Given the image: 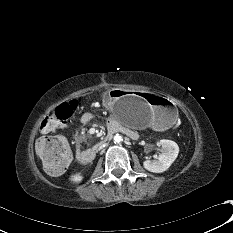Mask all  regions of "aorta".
<instances>
[{"label": "aorta", "instance_id": "aorta-1", "mask_svg": "<svg viewBox=\"0 0 233 233\" xmlns=\"http://www.w3.org/2000/svg\"><path fill=\"white\" fill-rule=\"evenodd\" d=\"M122 140H123V139H122V136H120L119 134H116V135L114 136V142H115V143H120Z\"/></svg>", "mask_w": 233, "mask_h": 233}]
</instances>
